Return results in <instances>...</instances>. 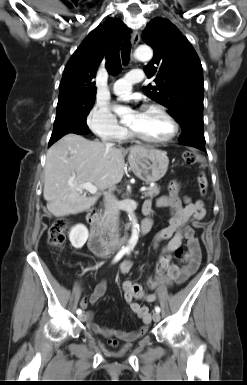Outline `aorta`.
<instances>
[{
	"mask_svg": "<svg viewBox=\"0 0 247 385\" xmlns=\"http://www.w3.org/2000/svg\"><path fill=\"white\" fill-rule=\"evenodd\" d=\"M153 51L149 46H140L136 49L134 53V57L140 61H148L152 58ZM114 111L119 114H124L128 112V109L126 107L122 106H115ZM127 212L129 213L130 220L132 222V236L129 240V245L126 247L127 250L133 249L135 246L137 240H138V232H139V225L137 224V221L131 211L130 208L127 209Z\"/></svg>",
	"mask_w": 247,
	"mask_h": 385,
	"instance_id": "1",
	"label": "aorta"
}]
</instances>
